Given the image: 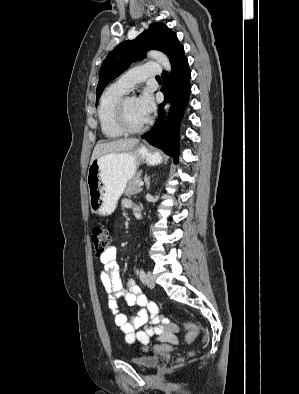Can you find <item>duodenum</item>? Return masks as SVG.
Segmentation results:
<instances>
[{
  "label": "duodenum",
  "mask_w": 299,
  "mask_h": 394,
  "mask_svg": "<svg viewBox=\"0 0 299 394\" xmlns=\"http://www.w3.org/2000/svg\"><path fill=\"white\" fill-rule=\"evenodd\" d=\"M136 217H137V218H141V212H140V211H137V212H136Z\"/></svg>",
  "instance_id": "1"
}]
</instances>
